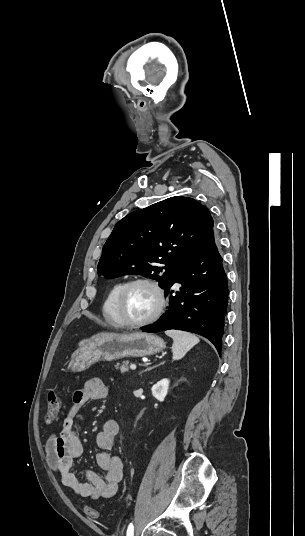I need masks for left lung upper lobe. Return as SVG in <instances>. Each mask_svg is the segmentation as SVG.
I'll return each instance as SVG.
<instances>
[{
  "label": "left lung upper lobe",
  "mask_w": 305,
  "mask_h": 536,
  "mask_svg": "<svg viewBox=\"0 0 305 536\" xmlns=\"http://www.w3.org/2000/svg\"><path fill=\"white\" fill-rule=\"evenodd\" d=\"M213 234V219L204 205L189 197H171L115 225L97 272L106 278L143 275L166 287Z\"/></svg>",
  "instance_id": "left-lung-upper-lobe-1"
}]
</instances>
